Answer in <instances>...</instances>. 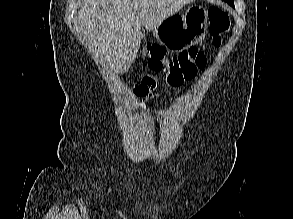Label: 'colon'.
<instances>
[{
  "instance_id": "colon-1",
  "label": "colon",
  "mask_w": 293,
  "mask_h": 219,
  "mask_svg": "<svg viewBox=\"0 0 293 219\" xmlns=\"http://www.w3.org/2000/svg\"><path fill=\"white\" fill-rule=\"evenodd\" d=\"M209 32L215 46L221 43V37L229 30L230 21L227 13L219 7L208 10ZM150 69L165 71L167 81L171 86H179L184 81L193 78L206 66L204 54L196 47L183 50L170 58L159 45H147L144 49Z\"/></svg>"
}]
</instances>
